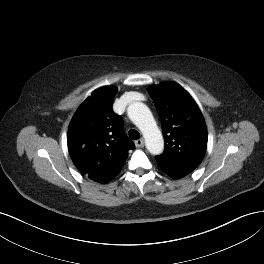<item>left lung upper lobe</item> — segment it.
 <instances>
[{
    "mask_svg": "<svg viewBox=\"0 0 264 264\" xmlns=\"http://www.w3.org/2000/svg\"><path fill=\"white\" fill-rule=\"evenodd\" d=\"M162 120L165 140L159 165L193 171L204 158L207 128L192 97L177 83L164 82L148 89Z\"/></svg>",
    "mask_w": 264,
    "mask_h": 264,
    "instance_id": "1",
    "label": "left lung upper lobe"
}]
</instances>
